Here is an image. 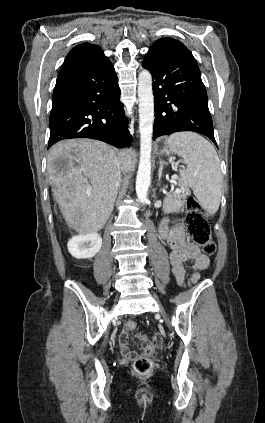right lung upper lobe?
<instances>
[{
	"mask_svg": "<svg viewBox=\"0 0 265 423\" xmlns=\"http://www.w3.org/2000/svg\"><path fill=\"white\" fill-rule=\"evenodd\" d=\"M95 57L100 59H108L107 57H105L100 47L93 44H89V43H83L76 46L69 52L64 63L71 60L95 58Z\"/></svg>",
	"mask_w": 265,
	"mask_h": 423,
	"instance_id": "right-lung-upper-lobe-1",
	"label": "right lung upper lobe"
}]
</instances>
